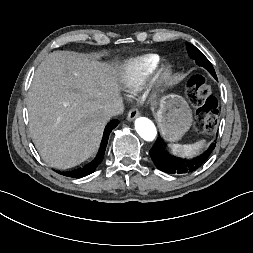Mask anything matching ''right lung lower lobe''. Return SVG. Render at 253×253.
Instances as JSON below:
<instances>
[{
  "label": "right lung lower lobe",
  "instance_id": "obj_1",
  "mask_svg": "<svg viewBox=\"0 0 253 253\" xmlns=\"http://www.w3.org/2000/svg\"><path fill=\"white\" fill-rule=\"evenodd\" d=\"M117 125H118V122H116V121H112L107 124V126L105 127V130H104L101 148H100L96 158L91 163L87 164L83 168L73 170L70 172H58V171L57 172L64 175V176L72 177V178H81V177L87 176V175L91 174L92 172H94L95 169L98 167V165L102 162V160L104 158L109 134L112 131V129L115 128Z\"/></svg>",
  "mask_w": 253,
  "mask_h": 253
}]
</instances>
